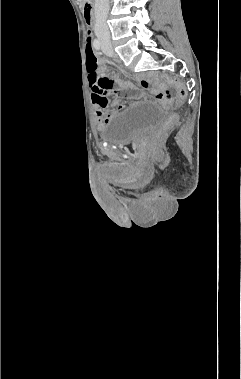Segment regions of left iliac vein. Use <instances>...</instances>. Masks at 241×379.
<instances>
[{
  "label": "left iliac vein",
  "instance_id": "obj_1",
  "mask_svg": "<svg viewBox=\"0 0 241 379\" xmlns=\"http://www.w3.org/2000/svg\"><path fill=\"white\" fill-rule=\"evenodd\" d=\"M103 52L107 55V56H110V57H113L115 54L114 52L112 51V49H109L105 46H103Z\"/></svg>",
  "mask_w": 241,
  "mask_h": 379
}]
</instances>
